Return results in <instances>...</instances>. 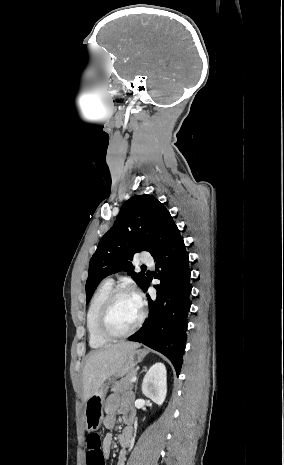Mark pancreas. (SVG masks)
Segmentation results:
<instances>
[{"instance_id":"obj_1","label":"pancreas","mask_w":284,"mask_h":465,"mask_svg":"<svg viewBox=\"0 0 284 465\" xmlns=\"http://www.w3.org/2000/svg\"><path fill=\"white\" fill-rule=\"evenodd\" d=\"M137 375L136 371H130L126 377L117 381L115 387H113V393H126V391H132L133 383L131 379Z\"/></svg>"}]
</instances>
